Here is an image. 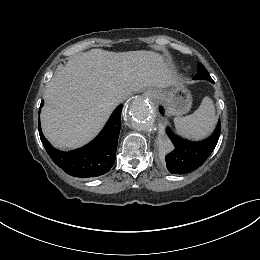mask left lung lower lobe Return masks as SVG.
<instances>
[{
  "mask_svg": "<svg viewBox=\"0 0 260 260\" xmlns=\"http://www.w3.org/2000/svg\"><path fill=\"white\" fill-rule=\"evenodd\" d=\"M163 112V108H161ZM220 121L213 134L201 142H191L166 131L174 145V150L166 156L167 169L173 174H186L199 168L217 145L220 135Z\"/></svg>",
  "mask_w": 260,
  "mask_h": 260,
  "instance_id": "obj_1",
  "label": "left lung lower lobe"
}]
</instances>
